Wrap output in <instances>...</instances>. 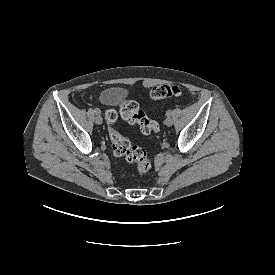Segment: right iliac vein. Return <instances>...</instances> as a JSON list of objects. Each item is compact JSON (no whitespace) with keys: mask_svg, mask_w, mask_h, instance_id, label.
<instances>
[{"mask_svg":"<svg viewBox=\"0 0 275 275\" xmlns=\"http://www.w3.org/2000/svg\"><path fill=\"white\" fill-rule=\"evenodd\" d=\"M102 117H101V115H100V112H98V113H96V116H95V122H96V124H98V125H100V124H102Z\"/></svg>","mask_w":275,"mask_h":275,"instance_id":"right-iliac-vein-1","label":"right iliac vein"}]
</instances>
